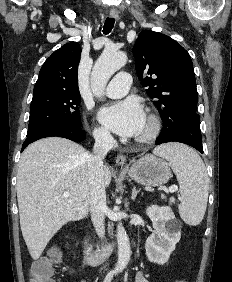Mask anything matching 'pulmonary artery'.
<instances>
[{
  "label": "pulmonary artery",
  "mask_w": 232,
  "mask_h": 282,
  "mask_svg": "<svg viewBox=\"0 0 232 282\" xmlns=\"http://www.w3.org/2000/svg\"><path fill=\"white\" fill-rule=\"evenodd\" d=\"M132 83V77L128 72L121 71L109 82L105 89L106 96L120 98L127 94Z\"/></svg>",
  "instance_id": "pulmonary-artery-1"
}]
</instances>
